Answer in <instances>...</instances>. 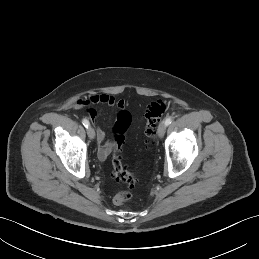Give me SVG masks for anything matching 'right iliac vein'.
<instances>
[{
  "instance_id": "right-iliac-vein-1",
  "label": "right iliac vein",
  "mask_w": 259,
  "mask_h": 259,
  "mask_svg": "<svg viewBox=\"0 0 259 259\" xmlns=\"http://www.w3.org/2000/svg\"><path fill=\"white\" fill-rule=\"evenodd\" d=\"M87 135L90 139H94L95 138V131L92 127H88L87 128Z\"/></svg>"
}]
</instances>
